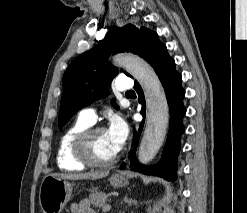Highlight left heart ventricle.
<instances>
[{"label": "left heart ventricle", "instance_id": "b2bd125f", "mask_svg": "<svg viewBox=\"0 0 247 213\" xmlns=\"http://www.w3.org/2000/svg\"><path fill=\"white\" fill-rule=\"evenodd\" d=\"M90 151L95 159L101 161L109 160L116 154L106 131H101L93 137Z\"/></svg>", "mask_w": 247, "mask_h": 213}]
</instances>
